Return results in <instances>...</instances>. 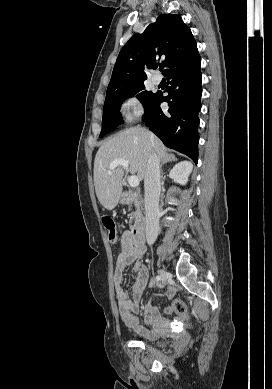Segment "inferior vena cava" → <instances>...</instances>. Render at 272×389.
I'll list each match as a JSON object with an SVG mask.
<instances>
[{"instance_id":"obj_1","label":"inferior vena cava","mask_w":272,"mask_h":389,"mask_svg":"<svg viewBox=\"0 0 272 389\" xmlns=\"http://www.w3.org/2000/svg\"><path fill=\"white\" fill-rule=\"evenodd\" d=\"M160 157L156 152H152L149 156L145 177V224H146V240L149 245H152L159 231V196L161 191L160 177Z\"/></svg>"}]
</instances>
